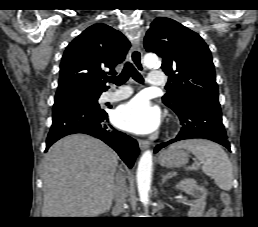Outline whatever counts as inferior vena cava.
Here are the masks:
<instances>
[{
  "label": "inferior vena cava",
  "mask_w": 258,
  "mask_h": 227,
  "mask_svg": "<svg viewBox=\"0 0 258 227\" xmlns=\"http://www.w3.org/2000/svg\"><path fill=\"white\" fill-rule=\"evenodd\" d=\"M126 198H127L126 180L123 175L119 174L116 177L114 199H115V207L120 212L124 211Z\"/></svg>",
  "instance_id": "inferior-vena-cava-1"
}]
</instances>
